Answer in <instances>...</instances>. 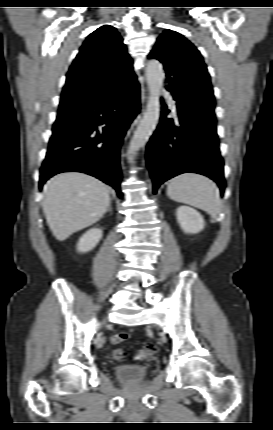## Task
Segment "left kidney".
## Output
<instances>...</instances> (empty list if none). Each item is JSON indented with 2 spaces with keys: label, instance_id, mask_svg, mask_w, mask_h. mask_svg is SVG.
Instances as JSON below:
<instances>
[{
  "label": "left kidney",
  "instance_id": "left-kidney-1",
  "mask_svg": "<svg viewBox=\"0 0 273 430\" xmlns=\"http://www.w3.org/2000/svg\"><path fill=\"white\" fill-rule=\"evenodd\" d=\"M176 216L180 227L185 233L197 234L205 226L203 216L189 206H180L177 209Z\"/></svg>",
  "mask_w": 273,
  "mask_h": 430
}]
</instances>
